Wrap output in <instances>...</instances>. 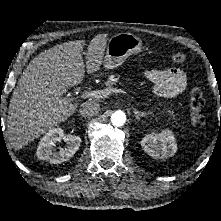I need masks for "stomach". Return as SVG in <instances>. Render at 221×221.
<instances>
[{
	"instance_id": "stomach-1",
	"label": "stomach",
	"mask_w": 221,
	"mask_h": 221,
	"mask_svg": "<svg viewBox=\"0 0 221 221\" xmlns=\"http://www.w3.org/2000/svg\"><path fill=\"white\" fill-rule=\"evenodd\" d=\"M142 49V41L132 33L113 35L107 44L106 55L103 60L105 69L111 70L122 65L126 58L137 54Z\"/></svg>"
}]
</instances>
